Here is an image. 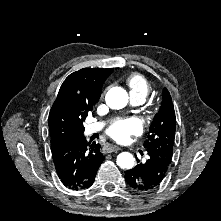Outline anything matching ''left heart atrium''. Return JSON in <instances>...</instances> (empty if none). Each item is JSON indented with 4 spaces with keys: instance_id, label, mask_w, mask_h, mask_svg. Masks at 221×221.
<instances>
[{
    "instance_id": "obj_1",
    "label": "left heart atrium",
    "mask_w": 221,
    "mask_h": 221,
    "mask_svg": "<svg viewBox=\"0 0 221 221\" xmlns=\"http://www.w3.org/2000/svg\"><path fill=\"white\" fill-rule=\"evenodd\" d=\"M106 132L115 141L125 143L131 136L142 132V125L136 118H123L113 122Z\"/></svg>"
}]
</instances>
